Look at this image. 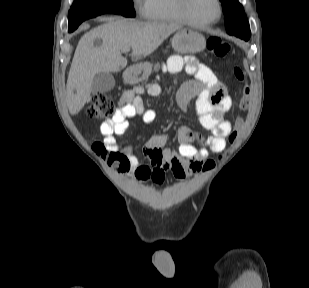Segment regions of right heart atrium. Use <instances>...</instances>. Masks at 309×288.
I'll return each mask as SVG.
<instances>
[{
    "mask_svg": "<svg viewBox=\"0 0 309 288\" xmlns=\"http://www.w3.org/2000/svg\"><path fill=\"white\" fill-rule=\"evenodd\" d=\"M144 3L145 0H133L134 7L141 12L143 11Z\"/></svg>",
    "mask_w": 309,
    "mask_h": 288,
    "instance_id": "d8ad5b80",
    "label": "right heart atrium"
}]
</instances>
